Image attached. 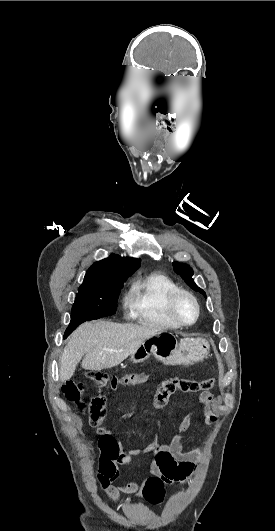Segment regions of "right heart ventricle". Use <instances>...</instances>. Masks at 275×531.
I'll return each instance as SVG.
<instances>
[{
	"instance_id": "e07e8e85",
	"label": "right heart ventricle",
	"mask_w": 275,
	"mask_h": 531,
	"mask_svg": "<svg viewBox=\"0 0 275 531\" xmlns=\"http://www.w3.org/2000/svg\"><path fill=\"white\" fill-rule=\"evenodd\" d=\"M176 288V284L168 276L160 273L139 277L133 285V314L140 321L152 326L179 328L166 310V298Z\"/></svg>"
}]
</instances>
